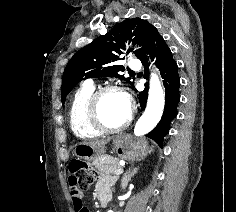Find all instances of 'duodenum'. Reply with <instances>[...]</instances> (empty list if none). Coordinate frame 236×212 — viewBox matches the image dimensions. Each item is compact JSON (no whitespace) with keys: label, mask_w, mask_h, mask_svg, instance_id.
<instances>
[{"label":"duodenum","mask_w":236,"mask_h":212,"mask_svg":"<svg viewBox=\"0 0 236 212\" xmlns=\"http://www.w3.org/2000/svg\"><path fill=\"white\" fill-rule=\"evenodd\" d=\"M97 198L100 206H105L110 200L109 190L99 189L97 193Z\"/></svg>","instance_id":"1"}]
</instances>
